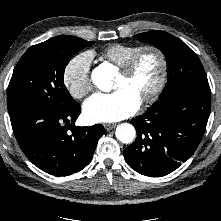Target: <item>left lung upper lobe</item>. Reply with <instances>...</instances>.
Wrapping results in <instances>:
<instances>
[{
  "mask_svg": "<svg viewBox=\"0 0 221 221\" xmlns=\"http://www.w3.org/2000/svg\"><path fill=\"white\" fill-rule=\"evenodd\" d=\"M134 38L154 45L167 59V84L159 100L149 109L156 108L166 96L182 91L198 90L211 94L207 76L198 56L183 41L159 30L140 33Z\"/></svg>",
  "mask_w": 221,
  "mask_h": 221,
  "instance_id": "obj_1",
  "label": "left lung upper lobe"
}]
</instances>
